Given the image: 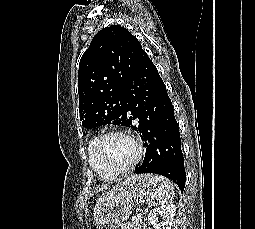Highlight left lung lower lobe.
<instances>
[{"label": "left lung lower lobe", "mask_w": 255, "mask_h": 229, "mask_svg": "<svg viewBox=\"0 0 255 229\" xmlns=\"http://www.w3.org/2000/svg\"><path fill=\"white\" fill-rule=\"evenodd\" d=\"M123 96L127 127L138 131L146 145L144 160L135 173L165 176L183 192L186 172L179 127L166 86L145 51Z\"/></svg>", "instance_id": "obj_1"}]
</instances>
